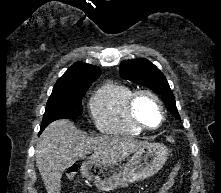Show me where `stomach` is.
I'll use <instances>...</instances> for the list:
<instances>
[{
	"label": "stomach",
	"mask_w": 221,
	"mask_h": 193,
	"mask_svg": "<svg viewBox=\"0 0 221 193\" xmlns=\"http://www.w3.org/2000/svg\"><path fill=\"white\" fill-rule=\"evenodd\" d=\"M168 155L163 144H147L135 151L124 167L117 163L98 165L88 161L81 165V174L93 181L99 190L110 191L156 174Z\"/></svg>",
	"instance_id": "1"
}]
</instances>
